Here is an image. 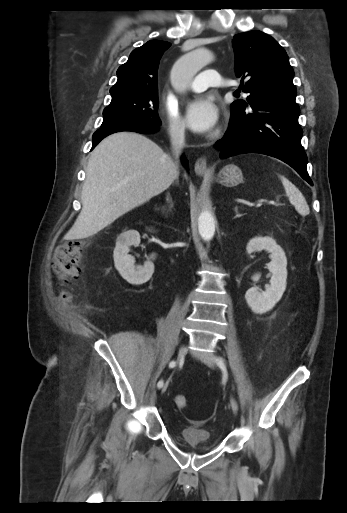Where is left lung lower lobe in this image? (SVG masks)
<instances>
[{
	"mask_svg": "<svg viewBox=\"0 0 347 513\" xmlns=\"http://www.w3.org/2000/svg\"><path fill=\"white\" fill-rule=\"evenodd\" d=\"M231 110L229 128L216 143L220 157L261 153L282 160L312 185L307 172V156L301 145L300 109L296 102L265 100Z\"/></svg>",
	"mask_w": 347,
	"mask_h": 513,
	"instance_id": "left-lung-lower-lobe-1",
	"label": "left lung lower lobe"
}]
</instances>
